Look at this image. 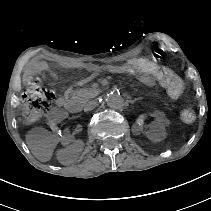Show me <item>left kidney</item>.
<instances>
[{
  "instance_id": "1",
  "label": "left kidney",
  "mask_w": 211,
  "mask_h": 211,
  "mask_svg": "<svg viewBox=\"0 0 211 211\" xmlns=\"http://www.w3.org/2000/svg\"><path fill=\"white\" fill-rule=\"evenodd\" d=\"M167 116L164 113H157L154 116V121L147 124V117L144 114H139L136 117L135 129L142 135H147L149 132L159 131L166 126Z\"/></svg>"
}]
</instances>
